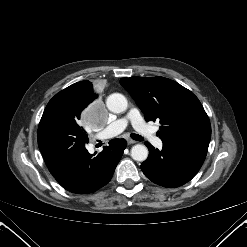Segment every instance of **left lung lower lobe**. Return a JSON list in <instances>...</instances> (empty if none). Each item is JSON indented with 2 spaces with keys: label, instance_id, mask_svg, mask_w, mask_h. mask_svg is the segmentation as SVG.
Masks as SVG:
<instances>
[{
  "label": "left lung lower lobe",
  "instance_id": "1",
  "mask_svg": "<svg viewBox=\"0 0 247 247\" xmlns=\"http://www.w3.org/2000/svg\"><path fill=\"white\" fill-rule=\"evenodd\" d=\"M210 138L186 137L163 143L162 150L146 142L149 156L141 169L152 182L167 187H179L190 181L201 168Z\"/></svg>",
  "mask_w": 247,
  "mask_h": 247
}]
</instances>
